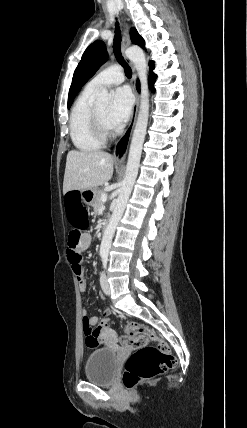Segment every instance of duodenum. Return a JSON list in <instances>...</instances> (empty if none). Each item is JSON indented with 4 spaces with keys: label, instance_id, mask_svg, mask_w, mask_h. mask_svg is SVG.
<instances>
[{
    "label": "duodenum",
    "instance_id": "410a0bca",
    "mask_svg": "<svg viewBox=\"0 0 247 428\" xmlns=\"http://www.w3.org/2000/svg\"><path fill=\"white\" fill-rule=\"evenodd\" d=\"M107 226H108V222L107 221H105L104 223H103V226H102V231H103V233L105 232V230L107 229Z\"/></svg>",
    "mask_w": 247,
    "mask_h": 428
}]
</instances>
